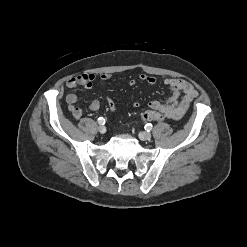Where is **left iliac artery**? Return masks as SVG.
I'll return each mask as SVG.
<instances>
[{"label": "left iliac artery", "instance_id": "1", "mask_svg": "<svg viewBox=\"0 0 247 247\" xmlns=\"http://www.w3.org/2000/svg\"><path fill=\"white\" fill-rule=\"evenodd\" d=\"M152 127H153L152 124H149V123L145 125V129H146L148 132L152 130Z\"/></svg>", "mask_w": 247, "mask_h": 247}]
</instances>
